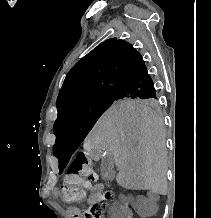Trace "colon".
Listing matches in <instances>:
<instances>
[{
  "mask_svg": "<svg viewBox=\"0 0 211 218\" xmlns=\"http://www.w3.org/2000/svg\"><path fill=\"white\" fill-rule=\"evenodd\" d=\"M96 174L92 162L85 152H80L64 177L60 187V196L66 202H76L82 200L86 191L90 190L96 182ZM112 197L111 192L105 194V199ZM104 202L90 204L88 209L81 213L82 218H104Z\"/></svg>",
  "mask_w": 211,
  "mask_h": 218,
  "instance_id": "1",
  "label": "colon"
}]
</instances>
